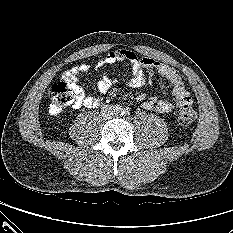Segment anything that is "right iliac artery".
<instances>
[{
  "mask_svg": "<svg viewBox=\"0 0 233 233\" xmlns=\"http://www.w3.org/2000/svg\"><path fill=\"white\" fill-rule=\"evenodd\" d=\"M115 110H116V112H121L122 111V107L120 105H117L115 107Z\"/></svg>",
  "mask_w": 233,
  "mask_h": 233,
  "instance_id": "right-iliac-artery-1",
  "label": "right iliac artery"
}]
</instances>
